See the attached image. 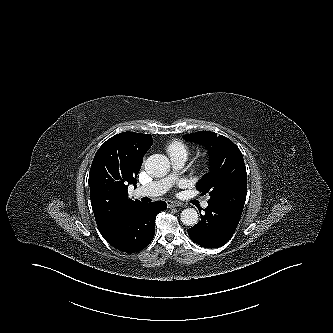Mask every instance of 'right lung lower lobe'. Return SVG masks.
I'll return each mask as SVG.
<instances>
[{
    "mask_svg": "<svg viewBox=\"0 0 333 333\" xmlns=\"http://www.w3.org/2000/svg\"><path fill=\"white\" fill-rule=\"evenodd\" d=\"M166 208L164 201L136 202L123 212L114 230L105 240L126 253H135L144 249L154 237L157 214Z\"/></svg>",
    "mask_w": 333,
    "mask_h": 333,
    "instance_id": "obj_1",
    "label": "right lung lower lobe"
}]
</instances>
